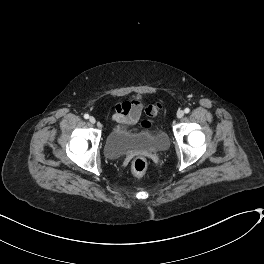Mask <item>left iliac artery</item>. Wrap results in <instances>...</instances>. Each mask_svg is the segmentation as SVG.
I'll return each mask as SVG.
<instances>
[{
    "label": "left iliac artery",
    "mask_w": 264,
    "mask_h": 264,
    "mask_svg": "<svg viewBox=\"0 0 264 264\" xmlns=\"http://www.w3.org/2000/svg\"><path fill=\"white\" fill-rule=\"evenodd\" d=\"M185 113H189L190 112V109L189 108H185Z\"/></svg>",
    "instance_id": "obj_1"
}]
</instances>
